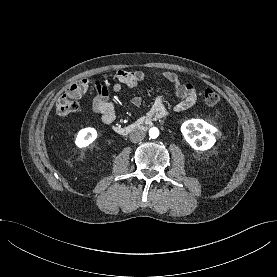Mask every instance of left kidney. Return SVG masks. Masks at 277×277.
I'll list each match as a JSON object with an SVG mask.
<instances>
[{"instance_id":"5707ae66","label":"left kidney","mask_w":277,"mask_h":277,"mask_svg":"<svg viewBox=\"0 0 277 277\" xmlns=\"http://www.w3.org/2000/svg\"><path fill=\"white\" fill-rule=\"evenodd\" d=\"M181 132L187 143L194 149L205 151L210 149L219 135L213 125L202 119H190L181 126Z\"/></svg>"}]
</instances>
